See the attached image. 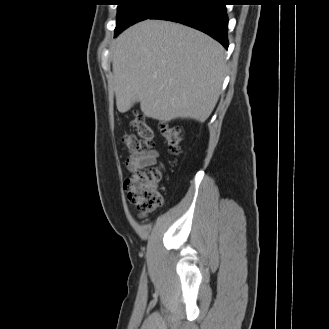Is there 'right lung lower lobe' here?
Instances as JSON below:
<instances>
[{"instance_id":"obj_1","label":"right lung lower lobe","mask_w":329,"mask_h":329,"mask_svg":"<svg viewBox=\"0 0 329 329\" xmlns=\"http://www.w3.org/2000/svg\"><path fill=\"white\" fill-rule=\"evenodd\" d=\"M226 0H174L149 19L181 23L200 30L228 48Z\"/></svg>"}]
</instances>
